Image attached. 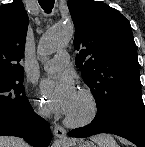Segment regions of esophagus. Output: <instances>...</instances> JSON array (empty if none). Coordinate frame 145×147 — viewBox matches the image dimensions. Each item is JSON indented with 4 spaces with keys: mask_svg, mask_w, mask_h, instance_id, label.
I'll return each instance as SVG.
<instances>
[{
    "mask_svg": "<svg viewBox=\"0 0 145 147\" xmlns=\"http://www.w3.org/2000/svg\"><path fill=\"white\" fill-rule=\"evenodd\" d=\"M54 135L60 140V141H63V142H66L68 141V138H67V134H66V130L59 126V125H56L54 127Z\"/></svg>",
    "mask_w": 145,
    "mask_h": 147,
    "instance_id": "1",
    "label": "esophagus"
}]
</instances>
